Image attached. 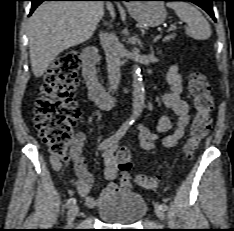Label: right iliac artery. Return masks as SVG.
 Wrapping results in <instances>:
<instances>
[{"label":"right iliac artery","mask_w":234,"mask_h":231,"mask_svg":"<svg viewBox=\"0 0 234 231\" xmlns=\"http://www.w3.org/2000/svg\"><path fill=\"white\" fill-rule=\"evenodd\" d=\"M132 124V121H126L121 127L120 129L110 138V140L112 142H118L126 133V131L128 130L129 126ZM106 146L105 141H103L100 145H99V149L102 150L104 149ZM76 203V198H70L67 201V208L72 207L74 204Z\"/></svg>","instance_id":"1"}]
</instances>
